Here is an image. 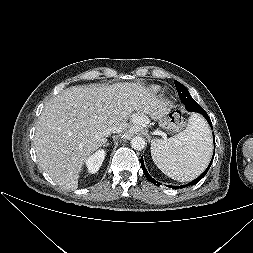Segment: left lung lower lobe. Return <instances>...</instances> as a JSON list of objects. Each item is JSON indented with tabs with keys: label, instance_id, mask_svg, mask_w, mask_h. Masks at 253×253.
I'll return each instance as SVG.
<instances>
[{
	"label": "left lung lower lobe",
	"instance_id": "left-lung-lower-lobe-1",
	"mask_svg": "<svg viewBox=\"0 0 253 253\" xmlns=\"http://www.w3.org/2000/svg\"><path fill=\"white\" fill-rule=\"evenodd\" d=\"M192 112H198V113L202 114V115L205 117V119L208 121L210 127L212 128V123H211V120H210L208 114L205 112V110H204L199 104H197L196 107H195L194 109H192ZM213 138H214V146H215V137H214V133H213ZM214 154H215V148H214L213 157H212V160H211L209 166L207 167V169H206L198 178H196L195 180H193L192 182H190V183H188V184H186V185H182V186H167V187L172 188V189H179V188L181 189V188L187 187V186H189V185H195V184H197V183L206 175V173L208 172V170H209V168H210V166H211V164H212V162H213ZM141 167H142V170H143V172H144V175L146 176V178H147L151 183L155 184L156 186L161 185V183L157 182L156 180H154V179L149 175V173L147 172V170H146V168H145V165H144V162H143V158H142V157H141Z\"/></svg>",
	"mask_w": 253,
	"mask_h": 253
}]
</instances>
